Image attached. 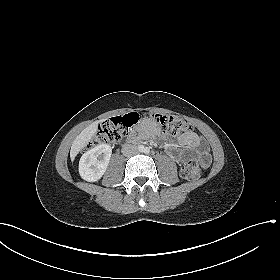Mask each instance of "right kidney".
Listing matches in <instances>:
<instances>
[{
  "label": "right kidney",
  "instance_id": "1",
  "mask_svg": "<svg viewBox=\"0 0 280 280\" xmlns=\"http://www.w3.org/2000/svg\"><path fill=\"white\" fill-rule=\"evenodd\" d=\"M112 154L108 144H100L85 152L79 161V174L88 182H96L104 175Z\"/></svg>",
  "mask_w": 280,
  "mask_h": 280
}]
</instances>
